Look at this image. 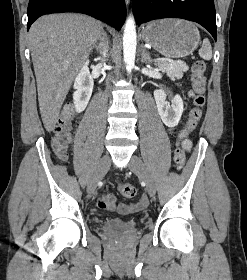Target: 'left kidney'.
I'll use <instances>...</instances> for the list:
<instances>
[{"label":"left kidney","mask_w":247,"mask_h":280,"mask_svg":"<svg viewBox=\"0 0 247 280\" xmlns=\"http://www.w3.org/2000/svg\"><path fill=\"white\" fill-rule=\"evenodd\" d=\"M154 98L163 123L168 127L177 126L184 110L183 100L180 95H176L173 98L171 105L166 101V94L162 89L154 91Z\"/></svg>","instance_id":"obj_1"}]
</instances>
